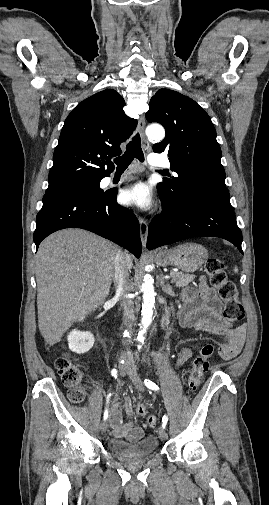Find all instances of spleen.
<instances>
[{
  "label": "spleen",
  "instance_id": "3e777b00",
  "mask_svg": "<svg viewBox=\"0 0 269 505\" xmlns=\"http://www.w3.org/2000/svg\"><path fill=\"white\" fill-rule=\"evenodd\" d=\"M234 272H235V273H237V272H238V268H237V267H235V268H234Z\"/></svg>",
  "mask_w": 269,
  "mask_h": 505
}]
</instances>
